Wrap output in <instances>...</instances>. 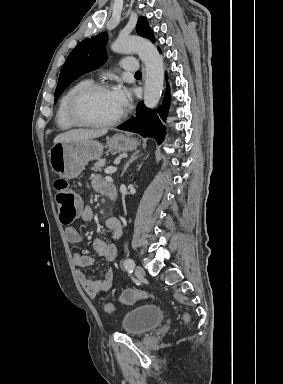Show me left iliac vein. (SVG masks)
Instances as JSON below:
<instances>
[{"label":"left iliac vein","mask_w":283,"mask_h":384,"mask_svg":"<svg viewBox=\"0 0 283 384\" xmlns=\"http://www.w3.org/2000/svg\"><path fill=\"white\" fill-rule=\"evenodd\" d=\"M135 276L139 279L142 280L145 276V271L141 266H137L135 269Z\"/></svg>","instance_id":"obj_1"}]
</instances>
